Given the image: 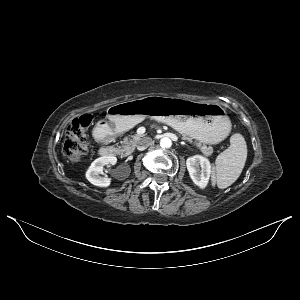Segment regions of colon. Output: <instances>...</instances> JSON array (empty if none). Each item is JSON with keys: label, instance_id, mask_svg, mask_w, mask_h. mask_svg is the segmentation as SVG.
Listing matches in <instances>:
<instances>
[{"label": "colon", "instance_id": "obj_1", "mask_svg": "<svg viewBox=\"0 0 300 300\" xmlns=\"http://www.w3.org/2000/svg\"><path fill=\"white\" fill-rule=\"evenodd\" d=\"M92 117L83 115L74 120L68 130L64 142V154L71 162L81 160L87 152L86 133Z\"/></svg>", "mask_w": 300, "mask_h": 300}]
</instances>
